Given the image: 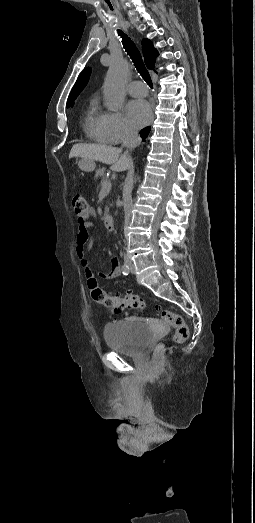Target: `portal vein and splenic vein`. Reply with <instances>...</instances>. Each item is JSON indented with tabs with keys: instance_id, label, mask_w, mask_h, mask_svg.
<instances>
[{
	"instance_id": "18ae733b",
	"label": "portal vein and splenic vein",
	"mask_w": 255,
	"mask_h": 523,
	"mask_svg": "<svg viewBox=\"0 0 255 523\" xmlns=\"http://www.w3.org/2000/svg\"><path fill=\"white\" fill-rule=\"evenodd\" d=\"M113 191V188L111 186V182H103L101 185V190L98 192V195L100 197H107L109 193Z\"/></svg>"
}]
</instances>
